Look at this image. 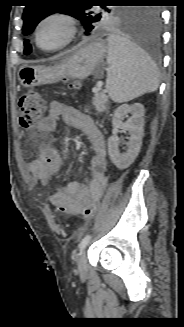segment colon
<instances>
[{
  "instance_id": "colon-1",
  "label": "colon",
  "mask_w": 184,
  "mask_h": 327,
  "mask_svg": "<svg viewBox=\"0 0 184 327\" xmlns=\"http://www.w3.org/2000/svg\"><path fill=\"white\" fill-rule=\"evenodd\" d=\"M71 87H77V83H70ZM46 109V102L40 94L35 91H28L24 93L19 99V121L23 128H31L37 124ZM55 210L61 213L67 212L66 207L62 205H55ZM97 209L96 204H90L85 206L81 210L83 217H91L95 214Z\"/></svg>"
}]
</instances>
